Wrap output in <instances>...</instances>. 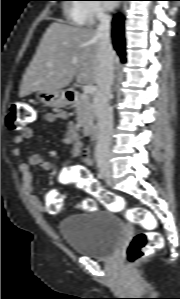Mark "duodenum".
<instances>
[{"label":"duodenum","mask_w":180,"mask_h":299,"mask_svg":"<svg viewBox=\"0 0 180 299\" xmlns=\"http://www.w3.org/2000/svg\"><path fill=\"white\" fill-rule=\"evenodd\" d=\"M66 99L68 100V102H73L75 100V98L77 97V91L76 90H73V89H70V90H67L66 93ZM93 131H94V127L88 123H83L82 124V133L85 135V136H90L93 134Z\"/></svg>","instance_id":"1"}]
</instances>
